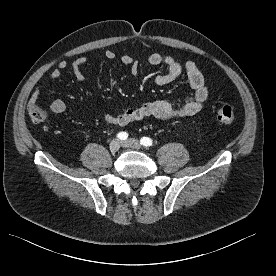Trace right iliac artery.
<instances>
[{
  "instance_id": "obj_1",
  "label": "right iliac artery",
  "mask_w": 276,
  "mask_h": 276,
  "mask_svg": "<svg viewBox=\"0 0 276 276\" xmlns=\"http://www.w3.org/2000/svg\"><path fill=\"white\" fill-rule=\"evenodd\" d=\"M117 138L120 140H126L128 138V133L127 132H119L117 134Z\"/></svg>"
}]
</instances>
